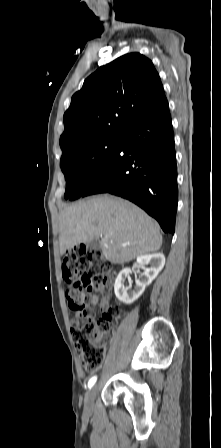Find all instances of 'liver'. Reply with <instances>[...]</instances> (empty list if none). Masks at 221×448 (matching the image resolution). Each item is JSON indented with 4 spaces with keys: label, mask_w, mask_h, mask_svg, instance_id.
I'll list each match as a JSON object with an SVG mask.
<instances>
[{
    "label": "liver",
    "mask_w": 221,
    "mask_h": 448,
    "mask_svg": "<svg viewBox=\"0 0 221 448\" xmlns=\"http://www.w3.org/2000/svg\"><path fill=\"white\" fill-rule=\"evenodd\" d=\"M59 232L61 255L101 237L103 256L113 264L157 252L162 245L153 219L129 201L108 195L66 207L60 215Z\"/></svg>",
    "instance_id": "1"
}]
</instances>
